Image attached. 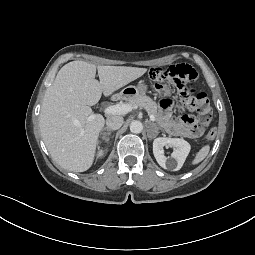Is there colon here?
I'll return each mask as SVG.
<instances>
[{
  "mask_svg": "<svg viewBox=\"0 0 255 255\" xmlns=\"http://www.w3.org/2000/svg\"><path fill=\"white\" fill-rule=\"evenodd\" d=\"M196 77L195 69L186 64L173 65L167 69L154 67L149 72V81L155 89L166 93V82L173 84L182 98L184 107L189 111H196L200 124L206 127L212 120L213 112L207 95L204 92H195L191 87V82ZM215 136L216 131L211 129L206 139L212 141Z\"/></svg>",
  "mask_w": 255,
  "mask_h": 255,
  "instance_id": "obj_1",
  "label": "colon"
}]
</instances>
